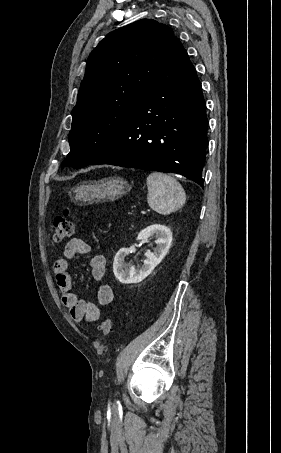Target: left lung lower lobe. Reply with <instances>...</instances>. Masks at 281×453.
<instances>
[{"label": "left lung lower lobe", "instance_id": "0a47b994", "mask_svg": "<svg viewBox=\"0 0 281 453\" xmlns=\"http://www.w3.org/2000/svg\"><path fill=\"white\" fill-rule=\"evenodd\" d=\"M207 125L200 81L175 37L166 63L140 104L91 165L172 172L203 187Z\"/></svg>", "mask_w": 281, "mask_h": 453}]
</instances>
